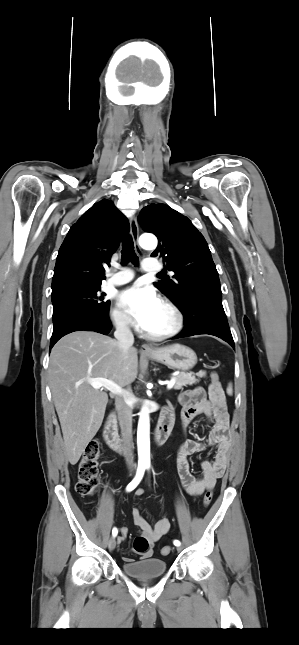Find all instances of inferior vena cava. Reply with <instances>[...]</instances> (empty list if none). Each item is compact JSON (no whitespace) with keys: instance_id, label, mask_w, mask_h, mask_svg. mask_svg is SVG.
<instances>
[{"instance_id":"inferior-vena-cava-1","label":"inferior vena cava","mask_w":299,"mask_h":645,"mask_svg":"<svg viewBox=\"0 0 299 645\" xmlns=\"http://www.w3.org/2000/svg\"><path fill=\"white\" fill-rule=\"evenodd\" d=\"M115 325L116 331L114 332V336L117 340L118 347L123 353H126L134 343V336L129 327L128 320L125 317L118 318L115 321ZM127 401V398H119L116 406L118 409V420L124 443L126 462L130 468H133L132 409Z\"/></svg>"}]
</instances>
